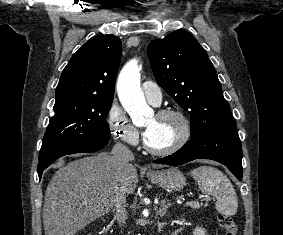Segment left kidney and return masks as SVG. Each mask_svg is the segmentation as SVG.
<instances>
[{
  "instance_id": "obj_1",
  "label": "left kidney",
  "mask_w": 283,
  "mask_h": 235,
  "mask_svg": "<svg viewBox=\"0 0 283 235\" xmlns=\"http://www.w3.org/2000/svg\"><path fill=\"white\" fill-rule=\"evenodd\" d=\"M193 235H206V231L201 227H196L193 231Z\"/></svg>"
}]
</instances>
